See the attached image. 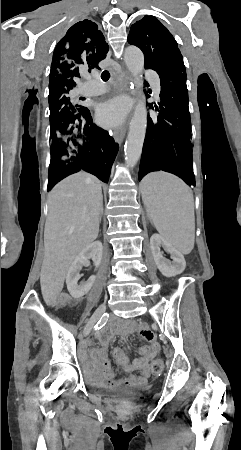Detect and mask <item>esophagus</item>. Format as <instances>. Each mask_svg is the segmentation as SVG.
<instances>
[{"label":"esophagus","mask_w":241,"mask_h":450,"mask_svg":"<svg viewBox=\"0 0 241 450\" xmlns=\"http://www.w3.org/2000/svg\"><path fill=\"white\" fill-rule=\"evenodd\" d=\"M112 73L115 76L117 83L121 91H125L129 86L130 77L125 71H116L112 69ZM126 134V129L124 127L115 128L113 131V137L116 142L120 143L124 139Z\"/></svg>","instance_id":"1"}]
</instances>
